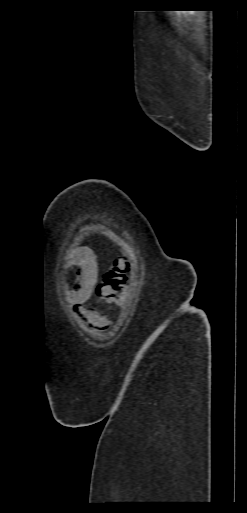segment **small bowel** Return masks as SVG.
Listing matches in <instances>:
<instances>
[{"mask_svg": "<svg viewBox=\"0 0 247 513\" xmlns=\"http://www.w3.org/2000/svg\"><path fill=\"white\" fill-rule=\"evenodd\" d=\"M66 264L74 270V280L70 287L63 286V292L74 311L83 317L89 324L101 330L109 327L110 320L104 315L97 314L92 308L86 306L91 298L97 281V266L91 255L82 252L69 253L65 259Z\"/></svg>", "mask_w": 247, "mask_h": 513, "instance_id": "1", "label": "small bowel"}]
</instances>
